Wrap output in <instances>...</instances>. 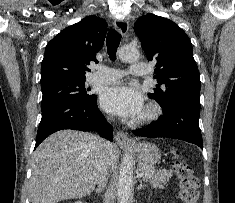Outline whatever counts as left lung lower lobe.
<instances>
[{
  "mask_svg": "<svg viewBox=\"0 0 235 203\" xmlns=\"http://www.w3.org/2000/svg\"><path fill=\"white\" fill-rule=\"evenodd\" d=\"M163 116L151 125L133 131L141 137H166L187 141L203 149L201 131L199 128L200 102L183 99L162 108Z\"/></svg>",
  "mask_w": 235,
  "mask_h": 203,
  "instance_id": "0a47b994",
  "label": "left lung lower lobe"
}]
</instances>
